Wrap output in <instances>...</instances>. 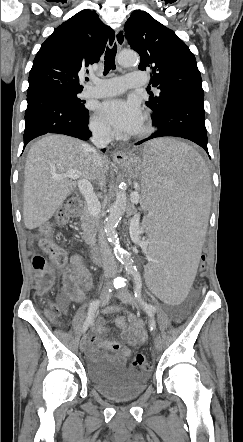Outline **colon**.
Here are the masks:
<instances>
[{
    "mask_svg": "<svg viewBox=\"0 0 243 442\" xmlns=\"http://www.w3.org/2000/svg\"><path fill=\"white\" fill-rule=\"evenodd\" d=\"M69 207L65 210H62L56 217V224L59 226L67 225L69 221ZM121 223L124 225L125 229L130 230L133 227L131 216H122ZM40 240L39 245L40 248L48 253L52 259V262L55 266L62 267L67 264V255L65 251L57 246L52 231L48 226H43L40 231ZM210 260L209 255H202L198 265L196 272L199 275L204 274L205 268ZM32 266L35 272L36 277V289L38 294L46 293L55 282V271L53 267H51L46 259L39 254H35L32 258ZM49 316L58 321L63 311L56 305H50L48 309ZM133 365L141 370L149 371L152 368L151 357L145 356L141 352H135L133 357Z\"/></svg>",
    "mask_w": 243,
    "mask_h": 442,
    "instance_id": "5ec220e1",
    "label": "colon"
}]
</instances>
